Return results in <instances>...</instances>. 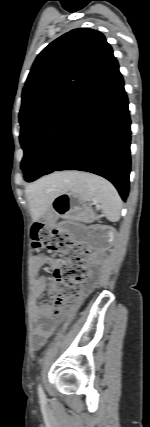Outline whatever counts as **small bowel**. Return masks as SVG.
<instances>
[{
    "label": "small bowel",
    "instance_id": "1",
    "mask_svg": "<svg viewBox=\"0 0 150 427\" xmlns=\"http://www.w3.org/2000/svg\"><path fill=\"white\" fill-rule=\"evenodd\" d=\"M49 265L52 268H58L61 264L59 259L36 256L33 258L32 267L36 274L35 289L37 296H40L47 287V279L44 276L37 275L43 265ZM51 318L50 310L47 307H39L35 311L37 325L34 330L32 345L34 349L41 348L46 340L53 334L54 328L46 322Z\"/></svg>",
    "mask_w": 150,
    "mask_h": 427
}]
</instances>
